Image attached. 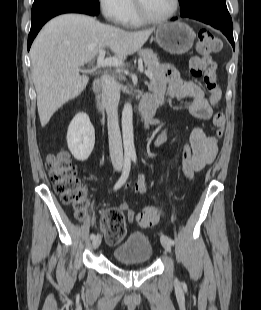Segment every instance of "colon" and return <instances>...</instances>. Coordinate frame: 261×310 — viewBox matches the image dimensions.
Masks as SVG:
<instances>
[{
    "mask_svg": "<svg viewBox=\"0 0 261 310\" xmlns=\"http://www.w3.org/2000/svg\"><path fill=\"white\" fill-rule=\"evenodd\" d=\"M221 41L207 29L198 32L196 49L200 54L190 62V73L193 77H203V83L209 93V102L212 105L219 103L222 91L217 83L216 66L210 57L211 53L220 51ZM215 127V138H221L225 128V115L216 112L213 116ZM182 167L185 176L191 179L192 169V148L186 144L182 150ZM47 169L53 183L56 194L62 202L70 206L79 219H83L88 205L87 192L76 167L72 164L69 154L62 150L50 154L47 158ZM100 220V227L109 245L119 244L126 234L125 217L116 210L106 208ZM136 220L141 227H150L159 220V212L154 207L143 209L136 215Z\"/></svg>",
    "mask_w": 261,
    "mask_h": 310,
    "instance_id": "5ec220e1",
    "label": "colon"
}]
</instances>
